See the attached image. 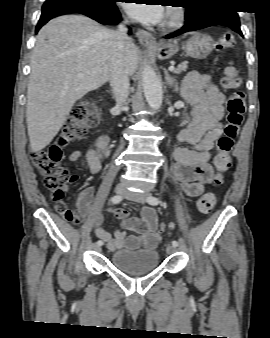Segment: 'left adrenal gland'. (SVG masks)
<instances>
[{
  "instance_id": "1",
  "label": "left adrenal gland",
  "mask_w": 270,
  "mask_h": 338,
  "mask_svg": "<svg viewBox=\"0 0 270 338\" xmlns=\"http://www.w3.org/2000/svg\"><path fill=\"white\" fill-rule=\"evenodd\" d=\"M164 73H165L166 84L169 87H172L174 92H178V90H179V83L176 80V78L172 77L166 69L164 70Z\"/></svg>"
}]
</instances>
